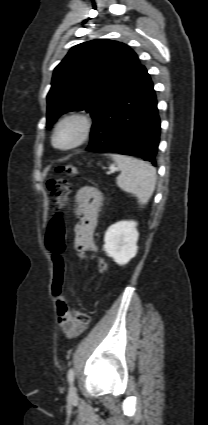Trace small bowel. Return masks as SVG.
Wrapping results in <instances>:
<instances>
[{
	"mask_svg": "<svg viewBox=\"0 0 208 425\" xmlns=\"http://www.w3.org/2000/svg\"><path fill=\"white\" fill-rule=\"evenodd\" d=\"M101 193L94 187H82L76 195L79 218L75 226L74 246L85 252H96L97 246L93 239L97 216L101 205ZM57 318L63 332L70 338L78 336L84 327L74 319L64 296L56 298Z\"/></svg>",
	"mask_w": 208,
	"mask_h": 425,
	"instance_id": "c3829d8e",
	"label": "small bowel"
}]
</instances>
